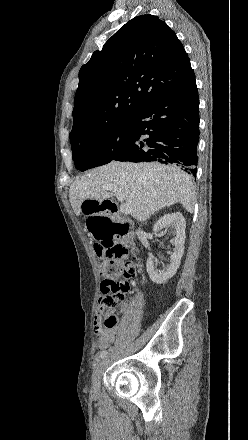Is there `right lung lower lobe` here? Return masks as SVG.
Masks as SVG:
<instances>
[{"label": "right lung lower lobe", "instance_id": "obj_1", "mask_svg": "<svg viewBox=\"0 0 248 440\" xmlns=\"http://www.w3.org/2000/svg\"><path fill=\"white\" fill-rule=\"evenodd\" d=\"M198 108L196 82L148 102L130 119L129 147L117 161L171 163L195 176Z\"/></svg>", "mask_w": 248, "mask_h": 440}]
</instances>
